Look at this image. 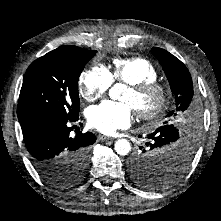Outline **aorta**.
<instances>
[{"instance_id": "762f6f07", "label": "aorta", "mask_w": 221, "mask_h": 221, "mask_svg": "<svg viewBox=\"0 0 221 221\" xmlns=\"http://www.w3.org/2000/svg\"><path fill=\"white\" fill-rule=\"evenodd\" d=\"M118 88L119 85H115L114 88L110 90L109 95L111 98H114V95L116 94ZM114 148L117 154L125 156L130 152L131 145L126 139H118L114 144Z\"/></svg>"}]
</instances>
